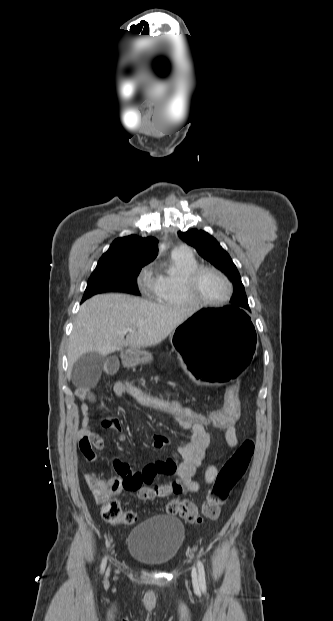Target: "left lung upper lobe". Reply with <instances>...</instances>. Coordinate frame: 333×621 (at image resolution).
Here are the masks:
<instances>
[{
  "mask_svg": "<svg viewBox=\"0 0 333 621\" xmlns=\"http://www.w3.org/2000/svg\"><path fill=\"white\" fill-rule=\"evenodd\" d=\"M178 236L187 244L193 246L204 259L230 277L234 286V295L230 301L231 307L250 311L240 274L229 254L220 246L216 239L208 233L197 229L178 232Z\"/></svg>",
  "mask_w": 333,
  "mask_h": 621,
  "instance_id": "1",
  "label": "left lung upper lobe"
}]
</instances>
